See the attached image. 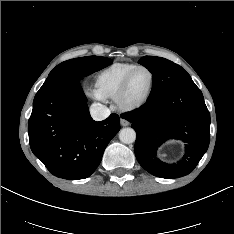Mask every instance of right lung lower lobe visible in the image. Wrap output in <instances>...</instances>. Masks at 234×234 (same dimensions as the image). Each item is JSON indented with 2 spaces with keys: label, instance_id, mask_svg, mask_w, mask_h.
<instances>
[{
  "label": "right lung lower lobe",
  "instance_id": "obj_1",
  "mask_svg": "<svg viewBox=\"0 0 234 234\" xmlns=\"http://www.w3.org/2000/svg\"><path fill=\"white\" fill-rule=\"evenodd\" d=\"M86 101L79 80L69 71L48 76L34 98L28 121L31 150L59 178L89 177L120 130L117 114L96 122Z\"/></svg>",
  "mask_w": 234,
  "mask_h": 234
}]
</instances>
